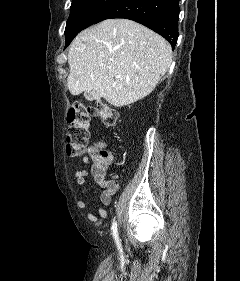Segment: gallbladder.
<instances>
[{"mask_svg": "<svg viewBox=\"0 0 240 281\" xmlns=\"http://www.w3.org/2000/svg\"><path fill=\"white\" fill-rule=\"evenodd\" d=\"M84 96L88 100H93L94 99V97L90 93H88V92H84Z\"/></svg>", "mask_w": 240, "mask_h": 281, "instance_id": "obj_1", "label": "gallbladder"}]
</instances>
